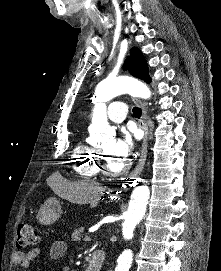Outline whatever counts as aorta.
Instances as JSON below:
<instances>
[{"instance_id":"aorta-1","label":"aorta","mask_w":221,"mask_h":271,"mask_svg":"<svg viewBox=\"0 0 221 271\" xmlns=\"http://www.w3.org/2000/svg\"><path fill=\"white\" fill-rule=\"evenodd\" d=\"M95 93L98 97V103L94 108L92 131L102 134L113 132L107 121V101L125 93L144 99L151 96L150 89L145 84L129 77L105 79L97 85ZM149 196L150 190L147 185L137 186L133 190L127 212L125 213V220L122 224V235L124 239L133 237L136 225L145 216ZM132 260V251L125 249L117 260L115 271H129Z\"/></svg>"}]
</instances>
